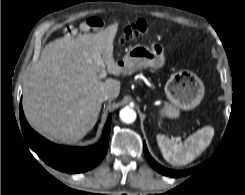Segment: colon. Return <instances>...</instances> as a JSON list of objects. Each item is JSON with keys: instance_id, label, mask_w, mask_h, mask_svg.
Returning <instances> with one entry per match:
<instances>
[{"instance_id": "colon-1", "label": "colon", "mask_w": 245, "mask_h": 195, "mask_svg": "<svg viewBox=\"0 0 245 195\" xmlns=\"http://www.w3.org/2000/svg\"><path fill=\"white\" fill-rule=\"evenodd\" d=\"M147 29L146 23L143 20H137L128 26L123 33V40L128 41L134 39Z\"/></svg>"}]
</instances>
